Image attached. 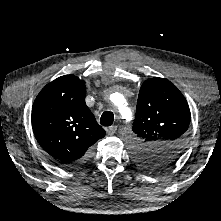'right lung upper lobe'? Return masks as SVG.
<instances>
[{
	"instance_id": "obj_1",
	"label": "right lung upper lobe",
	"mask_w": 221,
	"mask_h": 221,
	"mask_svg": "<svg viewBox=\"0 0 221 221\" xmlns=\"http://www.w3.org/2000/svg\"><path fill=\"white\" fill-rule=\"evenodd\" d=\"M86 86L74 75L47 84L32 107V127L41 147L61 164L83 160L105 136L85 103Z\"/></svg>"
}]
</instances>
